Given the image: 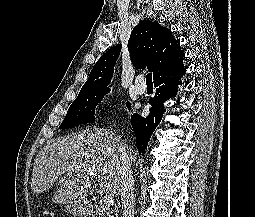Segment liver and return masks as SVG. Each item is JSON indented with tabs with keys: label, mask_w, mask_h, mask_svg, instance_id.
<instances>
[{
	"label": "liver",
	"mask_w": 255,
	"mask_h": 217,
	"mask_svg": "<svg viewBox=\"0 0 255 217\" xmlns=\"http://www.w3.org/2000/svg\"><path fill=\"white\" fill-rule=\"evenodd\" d=\"M120 138L107 129L91 128L48 143L34 160L31 189L39 195L52 188L71 165L80 170L61 185L52 197L58 204L84 201L91 188L87 170L99 175L100 188L111 195L121 192L119 172ZM136 154L131 149V160Z\"/></svg>",
	"instance_id": "obj_1"
}]
</instances>
